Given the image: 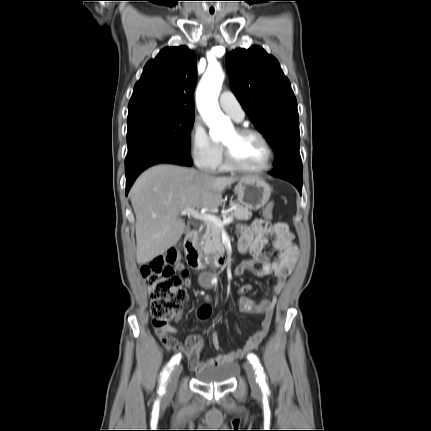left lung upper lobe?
<instances>
[{"instance_id": "left-lung-upper-lobe-1", "label": "left lung upper lobe", "mask_w": 431, "mask_h": 431, "mask_svg": "<svg viewBox=\"0 0 431 431\" xmlns=\"http://www.w3.org/2000/svg\"><path fill=\"white\" fill-rule=\"evenodd\" d=\"M226 68L233 93L275 152L273 172L302 173L297 101L276 58L251 46L230 52Z\"/></svg>"}]
</instances>
